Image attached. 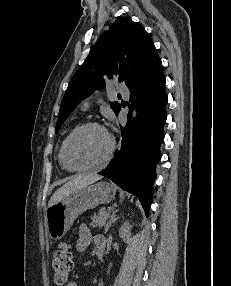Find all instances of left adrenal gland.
<instances>
[{
	"instance_id": "obj_1",
	"label": "left adrenal gland",
	"mask_w": 231,
	"mask_h": 286,
	"mask_svg": "<svg viewBox=\"0 0 231 286\" xmlns=\"http://www.w3.org/2000/svg\"><path fill=\"white\" fill-rule=\"evenodd\" d=\"M118 211H119V209L114 210V211L112 212V214H111V216H110V220H109V222L107 223V225H106V227H105V233H107L109 227H111V225H112L113 223H115L116 220L118 219V217H116V214H117Z\"/></svg>"
}]
</instances>
